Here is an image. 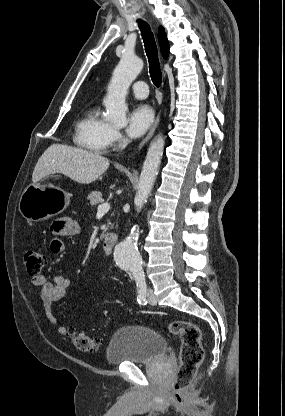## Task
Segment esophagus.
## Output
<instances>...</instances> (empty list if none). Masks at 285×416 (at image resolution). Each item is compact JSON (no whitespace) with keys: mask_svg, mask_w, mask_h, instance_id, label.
I'll use <instances>...</instances> for the list:
<instances>
[{"mask_svg":"<svg viewBox=\"0 0 285 416\" xmlns=\"http://www.w3.org/2000/svg\"><path fill=\"white\" fill-rule=\"evenodd\" d=\"M160 122V114L157 115L153 125L151 126L149 132L147 133V135L145 136L144 140L141 141V143L139 144L137 151H139L149 140L150 138H152V135L154 134L156 128L158 127Z\"/></svg>","mask_w":285,"mask_h":416,"instance_id":"obj_1","label":"esophagus"}]
</instances>
